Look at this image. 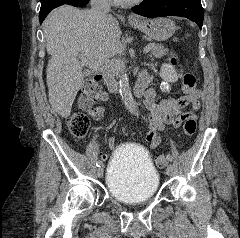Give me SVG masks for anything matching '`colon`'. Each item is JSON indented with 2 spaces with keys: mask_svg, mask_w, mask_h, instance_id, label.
Returning a JSON list of instances; mask_svg holds the SVG:
<instances>
[{
  "mask_svg": "<svg viewBox=\"0 0 240 238\" xmlns=\"http://www.w3.org/2000/svg\"><path fill=\"white\" fill-rule=\"evenodd\" d=\"M173 56V55H172ZM173 64L177 63V59L172 57ZM101 76L94 74L88 78L83 86L81 95L79 97V107L81 110H90L95 107L101 94L100 86ZM196 78L192 73H185L182 76V88L186 94H190L195 90ZM89 118L83 112H74L66 120L69 132L77 138H82L86 135L89 128ZM196 131V120L194 118H187L183 124V133L185 136H193ZM158 168H164L167 160L164 155H159L155 160Z\"/></svg>",
  "mask_w": 240,
  "mask_h": 238,
  "instance_id": "1",
  "label": "colon"
}]
</instances>
